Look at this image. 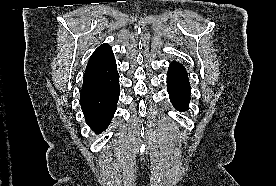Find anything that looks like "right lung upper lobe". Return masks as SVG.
Instances as JSON below:
<instances>
[{
  "label": "right lung upper lobe",
  "instance_id": "right-lung-upper-lobe-1",
  "mask_svg": "<svg viewBox=\"0 0 276 186\" xmlns=\"http://www.w3.org/2000/svg\"><path fill=\"white\" fill-rule=\"evenodd\" d=\"M118 74L112 48L104 43L91 55L84 74L83 85L108 81Z\"/></svg>",
  "mask_w": 276,
  "mask_h": 186
}]
</instances>
